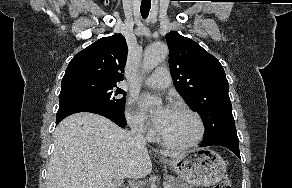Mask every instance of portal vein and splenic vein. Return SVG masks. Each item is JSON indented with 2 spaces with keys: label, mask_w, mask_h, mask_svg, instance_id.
Segmentation results:
<instances>
[{
  "label": "portal vein and splenic vein",
  "mask_w": 292,
  "mask_h": 188,
  "mask_svg": "<svg viewBox=\"0 0 292 188\" xmlns=\"http://www.w3.org/2000/svg\"><path fill=\"white\" fill-rule=\"evenodd\" d=\"M165 188H169V185H165Z\"/></svg>",
  "instance_id": "18ae733b"
}]
</instances>
